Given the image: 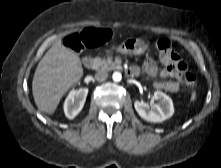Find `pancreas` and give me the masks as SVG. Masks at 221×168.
<instances>
[{"label": "pancreas", "instance_id": "obj_1", "mask_svg": "<svg viewBox=\"0 0 221 168\" xmlns=\"http://www.w3.org/2000/svg\"><path fill=\"white\" fill-rule=\"evenodd\" d=\"M95 70L97 71H110L117 69L118 66L111 59H101L96 57L94 59Z\"/></svg>", "mask_w": 221, "mask_h": 168}]
</instances>
